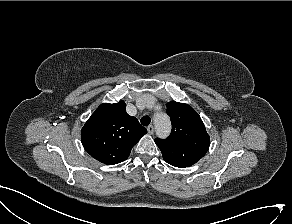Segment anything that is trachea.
Returning a JSON list of instances; mask_svg holds the SVG:
<instances>
[{
	"instance_id": "obj_1",
	"label": "trachea",
	"mask_w": 292,
	"mask_h": 224,
	"mask_svg": "<svg viewBox=\"0 0 292 224\" xmlns=\"http://www.w3.org/2000/svg\"><path fill=\"white\" fill-rule=\"evenodd\" d=\"M141 124L144 125V126H148L151 122V119L149 116H144L141 118Z\"/></svg>"
}]
</instances>
